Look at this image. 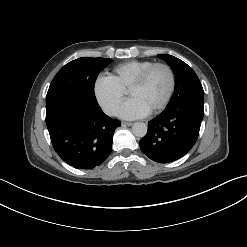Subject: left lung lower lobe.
<instances>
[{
    "label": "left lung lower lobe",
    "mask_w": 247,
    "mask_h": 247,
    "mask_svg": "<svg viewBox=\"0 0 247 247\" xmlns=\"http://www.w3.org/2000/svg\"><path fill=\"white\" fill-rule=\"evenodd\" d=\"M204 115V96L195 95L166 107L148 123L141 151L158 163L175 161L196 143Z\"/></svg>",
    "instance_id": "0a47b994"
}]
</instances>
